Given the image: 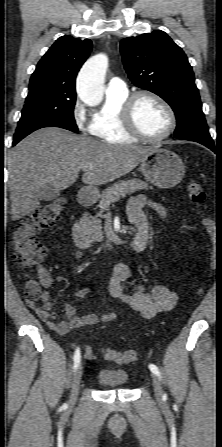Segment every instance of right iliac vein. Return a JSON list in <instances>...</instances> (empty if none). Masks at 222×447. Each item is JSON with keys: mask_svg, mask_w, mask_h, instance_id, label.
Instances as JSON below:
<instances>
[{"mask_svg": "<svg viewBox=\"0 0 222 447\" xmlns=\"http://www.w3.org/2000/svg\"><path fill=\"white\" fill-rule=\"evenodd\" d=\"M82 374H83V366L81 364H79L75 373H74L72 383H71V394H70V399H69V405L71 407L76 404Z\"/></svg>", "mask_w": 222, "mask_h": 447, "instance_id": "63e3f726", "label": "right iliac vein"}]
</instances>
